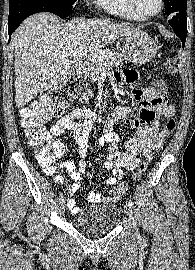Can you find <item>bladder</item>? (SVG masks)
I'll use <instances>...</instances> for the list:
<instances>
[{
	"label": "bladder",
	"instance_id": "31cf9c89",
	"mask_svg": "<svg viewBox=\"0 0 195 270\" xmlns=\"http://www.w3.org/2000/svg\"><path fill=\"white\" fill-rule=\"evenodd\" d=\"M120 210L116 205L90 206L76 214L72 223L76 229L88 235H101L116 227Z\"/></svg>",
	"mask_w": 195,
	"mask_h": 270
}]
</instances>
